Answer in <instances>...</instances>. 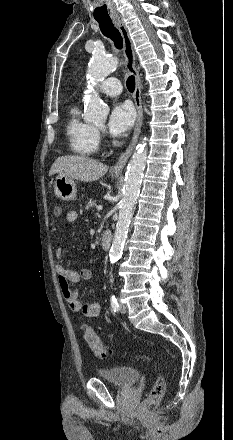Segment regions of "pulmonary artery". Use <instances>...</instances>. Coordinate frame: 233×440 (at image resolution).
Segmentation results:
<instances>
[{
    "label": "pulmonary artery",
    "mask_w": 233,
    "mask_h": 440,
    "mask_svg": "<svg viewBox=\"0 0 233 440\" xmlns=\"http://www.w3.org/2000/svg\"><path fill=\"white\" fill-rule=\"evenodd\" d=\"M98 91L109 96H117L121 93L122 87L117 78L110 77L99 85Z\"/></svg>",
    "instance_id": "pulmonary-artery-1"
}]
</instances>
